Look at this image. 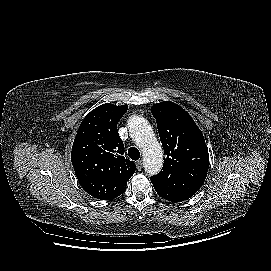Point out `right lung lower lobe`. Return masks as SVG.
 I'll return each instance as SVG.
<instances>
[{
  "label": "right lung lower lobe",
  "instance_id": "1",
  "mask_svg": "<svg viewBox=\"0 0 271 271\" xmlns=\"http://www.w3.org/2000/svg\"><path fill=\"white\" fill-rule=\"evenodd\" d=\"M78 181L88 194L102 200L113 199L126 190V185L114 181L86 178L79 179Z\"/></svg>",
  "mask_w": 271,
  "mask_h": 271
}]
</instances>
